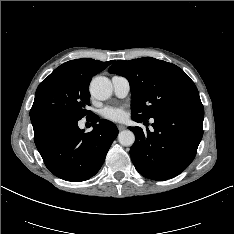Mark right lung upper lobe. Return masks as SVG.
Masks as SVG:
<instances>
[{"label": "right lung upper lobe", "instance_id": "obj_1", "mask_svg": "<svg viewBox=\"0 0 234 234\" xmlns=\"http://www.w3.org/2000/svg\"><path fill=\"white\" fill-rule=\"evenodd\" d=\"M112 62H101L90 58L71 60L60 65L50 75L67 74L88 85L94 75L104 70Z\"/></svg>", "mask_w": 234, "mask_h": 234}]
</instances>
